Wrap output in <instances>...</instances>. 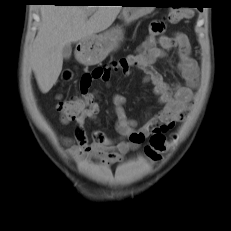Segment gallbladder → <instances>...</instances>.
Masks as SVG:
<instances>
[{"mask_svg":"<svg viewBox=\"0 0 231 231\" xmlns=\"http://www.w3.org/2000/svg\"><path fill=\"white\" fill-rule=\"evenodd\" d=\"M72 48L70 44H67L63 47L62 56L64 59L68 60L71 57Z\"/></svg>","mask_w":231,"mask_h":231,"instance_id":"obj_1","label":"gallbladder"}]
</instances>
